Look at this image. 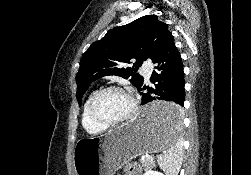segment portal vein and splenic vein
<instances>
[{
  "label": "portal vein and splenic vein",
  "mask_w": 251,
  "mask_h": 175,
  "mask_svg": "<svg viewBox=\"0 0 251 175\" xmlns=\"http://www.w3.org/2000/svg\"><path fill=\"white\" fill-rule=\"evenodd\" d=\"M141 157H142V158H147V157H148V154H147V153H142V154H141Z\"/></svg>",
  "instance_id": "portal-vein-and-splenic-vein-1"
}]
</instances>
